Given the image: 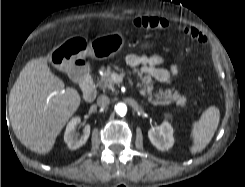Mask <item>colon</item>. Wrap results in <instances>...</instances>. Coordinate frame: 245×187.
<instances>
[{
	"label": "colon",
	"instance_id": "obj_1",
	"mask_svg": "<svg viewBox=\"0 0 245 187\" xmlns=\"http://www.w3.org/2000/svg\"><path fill=\"white\" fill-rule=\"evenodd\" d=\"M131 25L139 30L161 31L166 29L169 24L166 20L158 17L142 16L132 20ZM184 34L198 41L199 43H206V36L195 28H184Z\"/></svg>",
	"mask_w": 245,
	"mask_h": 187
}]
</instances>
